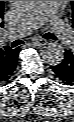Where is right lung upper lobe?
<instances>
[{"label":"right lung upper lobe","instance_id":"right-lung-upper-lobe-1","mask_svg":"<svg viewBox=\"0 0 74 122\" xmlns=\"http://www.w3.org/2000/svg\"><path fill=\"white\" fill-rule=\"evenodd\" d=\"M3 11H4V2L0 1V28L3 27V22H1L3 18ZM11 49L10 47H5V49L0 48V61L3 60L4 58L7 60L9 59L8 55L11 54ZM4 60V61H6Z\"/></svg>","mask_w":74,"mask_h":122}]
</instances>
